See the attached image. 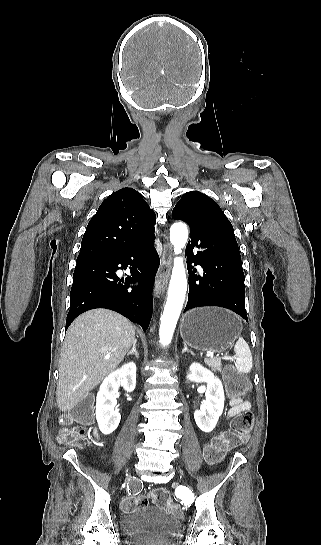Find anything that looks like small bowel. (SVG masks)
<instances>
[{
    "instance_id": "c3829d8e",
    "label": "small bowel",
    "mask_w": 321,
    "mask_h": 545,
    "mask_svg": "<svg viewBox=\"0 0 321 545\" xmlns=\"http://www.w3.org/2000/svg\"><path fill=\"white\" fill-rule=\"evenodd\" d=\"M250 409V403L247 401H244L242 398H232L230 400V409L228 411V417H233L234 415L242 412L247 411ZM95 437H99L98 430H95L94 432Z\"/></svg>"
}]
</instances>
